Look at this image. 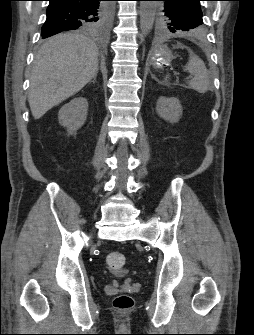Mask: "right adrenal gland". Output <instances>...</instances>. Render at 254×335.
Returning a JSON list of instances; mask_svg holds the SVG:
<instances>
[{
  "mask_svg": "<svg viewBox=\"0 0 254 335\" xmlns=\"http://www.w3.org/2000/svg\"><path fill=\"white\" fill-rule=\"evenodd\" d=\"M96 77H97V74L93 77L92 83L96 82Z\"/></svg>",
  "mask_w": 254,
  "mask_h": 335,
  "instance_id": "1",
  "label": "right adrenal gland"
}]
</instances>
